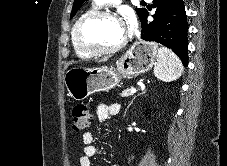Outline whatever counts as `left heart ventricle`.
Segmentation results:
<instances>
[{"label": "left heart ventricle", "mask_w": 227, "mask_h": 166, "mask_svg": "<svg viewBox=\"0 0 227 166\" xmlns=\"http://www.w3.org/2000/svg\"><path fill=\"white\" fill-rule=\"evenodd\" d=\"M82 37L90 45L111 48L125 39L126 28L120 20L101 18L84 26Z\"/></svg>", "instance_id": "b2bd125f"}]
</instances>
